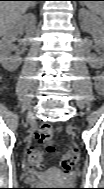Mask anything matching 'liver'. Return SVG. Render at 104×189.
I'll return each mask as SVG.
<instances>
[{"label":"liver","instance_id":"6515ba94","mask_svg":"<svg viewBox=\"0 0 104 189\" xmlns=\"http://www.w3.org/2000/svg\"><path fill=\"white\" fill-rule=\"evenodd\" d=\"M35 2L33 1H1L0 2V34L3 36L11 26Z\"/></svg>","mask_w":104,"mask_h":189}]
</instances>
